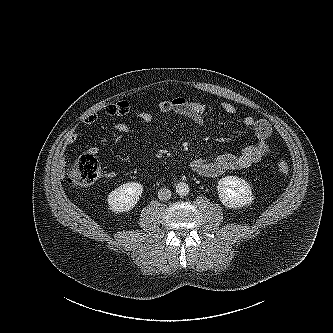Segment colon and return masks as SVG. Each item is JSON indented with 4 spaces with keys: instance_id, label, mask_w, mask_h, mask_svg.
<instances>
[{
    "instance_id": "obj_1",
    "label": "colon",
    "mask_w": 333,
    "mask_h": 333,
    "mask_svg": "<svg viewBox=\"0 0 333 333\" xmlns=\"http://www.w3.org/2000/svg\"><path fill=\"white\" fill-rule=\"evenodd\" d=\"M278 171L285 175L289 166L284 157L278 154L275 158ZM100 176V165L97 158L90 153L78 157L68 169V183L74 188L92 186Z\"/></svg>"
}]
</instances>
